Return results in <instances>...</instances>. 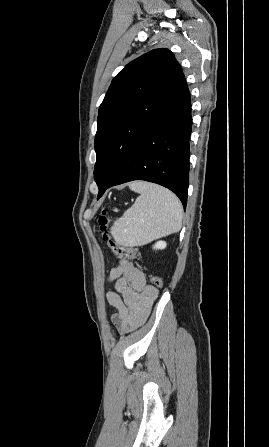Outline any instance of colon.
<instances>
[{"label":"colon","instance_id":"colon-1","mask_svg":"<svg viewBox=\"0 0 269 447\" xmlns=\"http://www.w3.org/2000/svg\"><path fill=\"white\" fill-rule=\"evenodd\" d=\"M114 210L109 209L106 206L101 207V211L98 217V223L100 230L102 232L103 239L108 243V246L112 253L117 256L118 258H121L123 260L131 261V262H139L141 255L139 251L135 248L122 246L116 241L113 240L111 237L110 231L108 229L109 225L111 224L113 220V214ZM152 284L155 288H161L162 287V279L158 276H153L151 278Z\"/></svg>","mask_w":269,"mask_h":447}]
</instances>
